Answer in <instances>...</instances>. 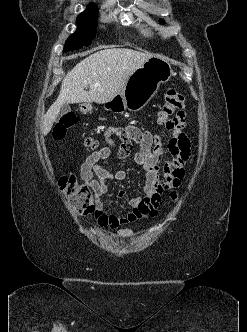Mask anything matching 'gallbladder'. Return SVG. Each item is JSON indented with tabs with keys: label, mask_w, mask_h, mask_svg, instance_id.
<instances>
[{
	"label": "gallbladder",
	"mask_w": 247,
	"mask_h": 332,
	"mask_svg": "<svg viewBox=\"0 0 247 332\" xmlns=\"http://www.w3.org/2000/svg\"><path fill=\"white\" fill-rule=\"evenodd\" d=\"M70 111H71L70 106H69L67 103H65L64 105H62V106L60 107V110H59V113H58V117H60V116H62V115H64V114H66V113H68V112H70Z\"/></svg>",
	"instance_id": "bac80fb5"
}]
</instances>
